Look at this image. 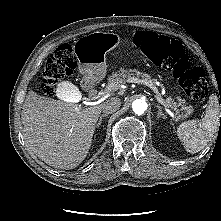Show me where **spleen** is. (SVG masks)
Instances as JSON below:
<instances>
[{
	"instance_id": "1",
	"label": "spleen",
	"mask_w": 221,
	"mask_h": 221,
	"mask_svg": "<svg viewBox=\"0 0 221 221\" xmlns=\"http://www.w3.org/2000/svg\"><path fill=\"white\" fill-rule=\"evenodd\" d=\"M221 116V115H220ZM219 127L218 97L212 94L205 115L200 120H188L177 128V135L189 153H197L211 140Z\"/></svg>"
}]
</instances>
